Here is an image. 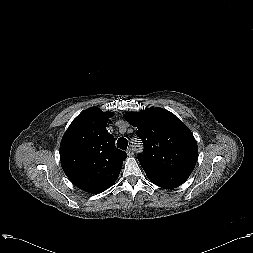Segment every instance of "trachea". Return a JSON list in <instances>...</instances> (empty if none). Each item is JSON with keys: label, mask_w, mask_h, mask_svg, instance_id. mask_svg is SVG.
<instances>
[{"label": "trachea", "mask_w": 253, "mask_h": 253, "mask_svg": "<svg viewBox=\"0 0 253 253\" xmlns=\"http://www.w3.org/2000/svg\"><path fill=\"white\" fill-rule=\"evenodd\" d=\"M127 146H128V141H127L126 138L121 137V138H119V139L117 140V147H118L119 149L126 150V149H127Z\"/></svg>", "instance_id": "3493384b"}]
</instances>
